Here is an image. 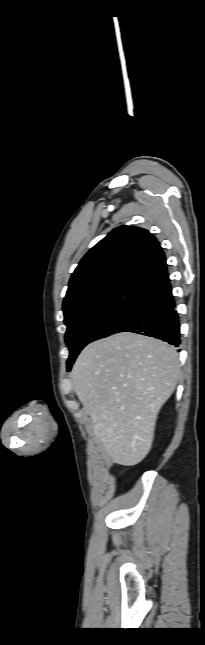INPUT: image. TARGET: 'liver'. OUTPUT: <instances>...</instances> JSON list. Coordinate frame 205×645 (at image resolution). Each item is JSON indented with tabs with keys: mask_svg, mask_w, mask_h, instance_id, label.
Listing matches in <instances>:
<instances>
[{
	"mask_svg": "<svg viewBox=\"0 0 205 645\" xmlns=\"http://www.w3.org/2000/svg\"><path fill=\"white\" fill-rule=\"evenodd\" d=\"M180 375L176 349L122 332L87 345L71 372L94 436L114 463L133 466L149 453L157 415Z\"/></svg>",
	"mask_w": 205,
	"mask_h": 645,
	"instance_id": "liver-1",
	"label": "liver"
}]
</instances>
